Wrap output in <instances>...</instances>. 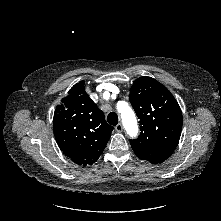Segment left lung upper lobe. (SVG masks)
Here are the masks:
<instances>
[{"label":"left lung upper lobe","instance_id":"obj_1","mask_svg":"<svg viewBox=\"0 0 221 221\" xmlns=\"http://www.w3.org/2000/svg\"><path fill=\"white\" fill-rule=\"evenodd\" d=\"M130 102L139 118L141 133L130 140L142 160L161 163L171 156L182 131V112L171 92L151 77H140L130 90Z\"/></svg>","mask_w":221,"mask_h":221}]
</instances>
